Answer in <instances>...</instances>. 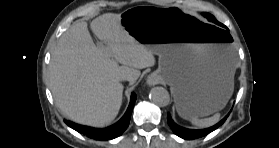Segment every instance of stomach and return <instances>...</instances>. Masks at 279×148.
<instances>
[{
  "label": "stomach",
  "instance_id": "obj_1",
  "mask_svg": "<svg viewBox=\"0 0 279 148\" xmlns=\"http://www.w3.org/2000/svg\"><path fill=\"white\" fill-rule=\"evenodd\" d=\"M139 44L159 56L156 71L171 87L178 114L203 117L224 108L234 89L235 59L222 28L163 6L136 5L120 20Z\"/></svg>",
  "mask_w": 279,
  "mask_h": 148
}]
</instances>
